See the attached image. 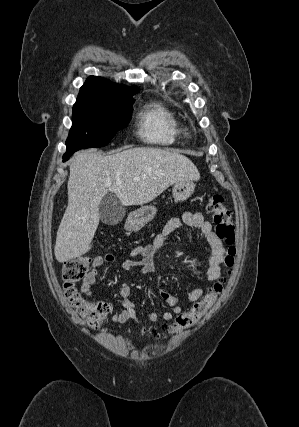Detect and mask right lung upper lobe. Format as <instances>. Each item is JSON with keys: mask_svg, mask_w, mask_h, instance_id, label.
<instances>
[{"mask_svg": "<svg viewBox=\"0 0 299 427\" xmlns=\"http://www.w3.org/2000/svg\"><path fill=\"white\" fill-rule=\"evenodd\" d=\"M138 92V88L123 87L107 79L90 76L80 88L77 101H113L130 98Z\"/></svg>", "mask_w": 299, "mask_h": 427, "instance_id": "1", "label": "right lung upper lobe"}]
</instances>
